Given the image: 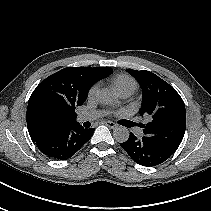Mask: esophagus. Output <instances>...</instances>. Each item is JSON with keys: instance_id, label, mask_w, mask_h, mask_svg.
<instances>
[{"instance_id": "34e87169", "label": "esophagus", "mask_w": 211, "mask_h": 211, "mask_svg": "<svg viewBox=\"0 0 211 211\" xmlns=\"http://www.w3.org/2000/svg\"><path fill=\"white\" fill-rule=\"evenodd\" d=\"M103 124H105L106 126H108L111 129H115L117 127V125L112 121H105V122H103Z\"/></svg>"}]
</instances>
